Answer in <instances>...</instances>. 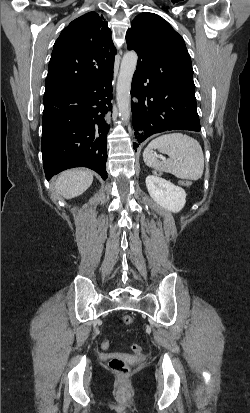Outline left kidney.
Listing matches in <instances>:
<instances>
[{
  "mask_svg": "<svg viewBox=\"0 0 250 413\" xmlns=\"http://www.w3.org/2000/svg\"><path fill=\"white\" fill-rule=\"evenodd\" d=\"M146 187L152 199L162 208L177 213L186 203V192L156 174L146 177Z\"/></svg>",
  "mask_w": 250,
  "mask_h": 413,
  "instance_id": "5707ae66",
  "label": "left kidney"
}]
</instances>
